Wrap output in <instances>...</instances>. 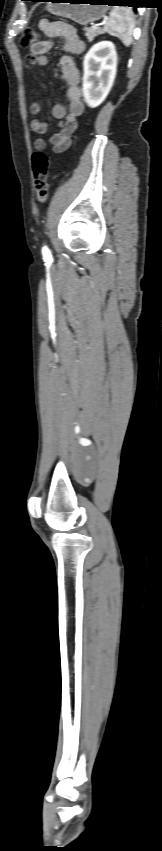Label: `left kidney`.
<instances>
[{
	"label": "left kidney",
	"instance_id": "5707ae66",
	"mask_svg": "<svg viewBox=\"0 0 162 851\" xmlns=\"http://www.w3.org/2000/svg\"><path fill=\"white\" fill-rule=\"evenodd\" d=\"M117 53L112 42L91 47L83 61V97L91 108L98 107L110 92L116 76Z\"/></svg>",
	"mask_w": 162,
	"mask_h": 851
}]
</instances>
